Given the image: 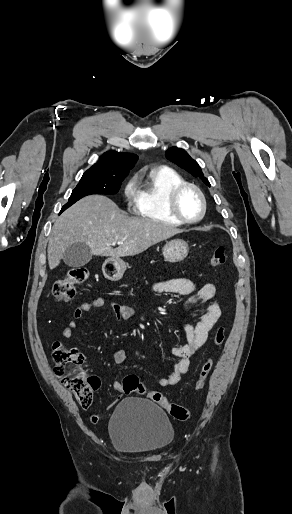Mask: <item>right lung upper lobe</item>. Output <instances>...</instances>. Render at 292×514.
<instances>
[{"mask_svg": "<svg viewBox=\"0 0 292 514\" xmlns=\"http://www.w3.org/2000/svg\"><path fill=\"white\" fill-rule=\"evenodd\" d=\"M137 159V155L134 154L108 151L100 156L99 161L90 167L83 176L125 178Z\"/></svg>", "mask_w": 292, "mask_h": 514, "instance_id": "right-lung-upper-lobe-1", "label": "right lung upper lobe"}]
</instances>
